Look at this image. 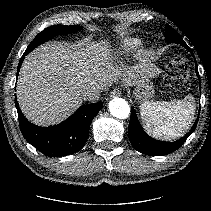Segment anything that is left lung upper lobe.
Returning <instances> with one entry per match:
<instances>
[{
  "instance_id": "1",
  "label": "left lung upper lobe",
  "mask_w": 211,
  "mask_h": 211,
  "mask_svg": "<svg viewBox=\"0 0 211 211\" xmlns=\"http://www.w3.org/2000/svg\"><path fill=\"white\" fill-rule=\"evenodd\" d=\"M165 37L168 42L173 43L182 39L179 34L169 25L165 26Z\"/></svg>"
}]
</instances>
